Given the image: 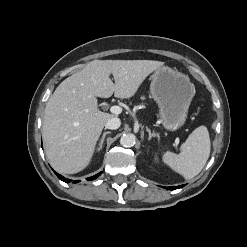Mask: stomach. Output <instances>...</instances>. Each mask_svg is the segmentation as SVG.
<instances>
[{
	"mask_svg": "<svg viewBox=\"0 0 247 247\" xmlns=\"http://www.w3.org/2000/svg\"><path fill=\"white\" fill-rule=\"evenodd\" d=\"M150 91L159 107V117L168 130L182 127L195 94L187 75L168 66H161L152 75Z\"/></svg>",
	"mask_w": 247,
	"mask_h": 247,
	"instance_id": "0dacf381",
	"label": "stomach"
}]
</instances>
